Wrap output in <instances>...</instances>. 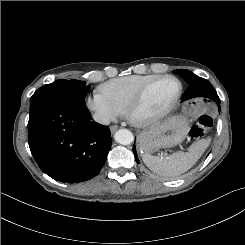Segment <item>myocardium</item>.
Wrapping results in <instances>:
<instances>
[{
	"label": "myocardium",
	"instance_id": "obj_1",
	"mask_svg": "<svg viewBox=\"0 0 245 245\" xmlns=\"http://www.w3.org/2000/svg\"><path fill=\"white\" fill-rule=\"evenodd\" d=\"M166 79H172L178 83V86H179L178 92L175 95V97L173 98V100L162 111H160L156 114L150 115V116L139 117L137 115V113H138L139 109L141 108V106L144 102V99H145L147 93L149 92V90L155 84L159 83L160 81L166 80ZM182 91H183V85H182L181 80L178 77H176L174 75L158 76L155 79L146 83L144 86H142L141 89L134 96V98L131 100V102L129 103L127 110H126L127 118L130 120V122H132L133 124L140 126V127H146V126L153 125V124L159 122L160 120H162L163 118H165L174 109V107L177 105V103L181 97Z\"/></svg>",
	"mask_w": 245,
	"mask_h": 245
}]
</instances>
